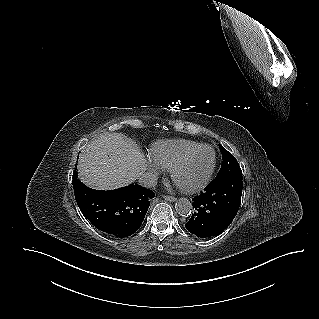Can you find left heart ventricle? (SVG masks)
<instances>
[{
    "label": "left heart ventricle",
    "instance_id": "left-heart-ventricle-1",
    "mask_svg": "<svg viewBox=\"0 0 319 319\" xmlns=\"http://www.w3.org/2000/svg\"><path fill=\"white\" fill-rule=\"evenodd\" d=\"M212 160L213 154L210 149L198 150L178 172V183L184 187L199 183L209 170Z\"/></svg>",
    "mask_w": 319,
    "mask_h": 319
}]
</instances>
